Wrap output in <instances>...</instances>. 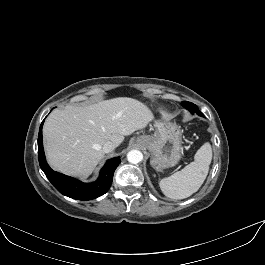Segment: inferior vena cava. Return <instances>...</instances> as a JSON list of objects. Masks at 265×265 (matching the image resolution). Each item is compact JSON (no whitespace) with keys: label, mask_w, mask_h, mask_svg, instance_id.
Returning <instances> with one entry per match:
<instances>
[{"label":"inferior vena cava","mask_w":265,"mask_h":265,"mask_svg":"<svg viewBox=\"0 0 265 265\" xmlns=\"http://www.w3.org/2000/svg\"><path fill=\"white\" fill-rule=\"evenodd\" d=\"M116 148V146H115V144L114 143H112V142H110V141H108V142H106L104 145H103V152L104 153H109V152H112V151H114V149Z\"/></svg>","instance_id":"inferior-vena-cava-1"}]
</instances>
